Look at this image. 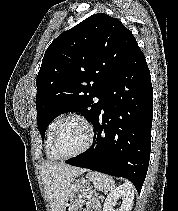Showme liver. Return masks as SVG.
Masks as SVG:
<instances>
[{"label": "liver", "instance_id": "6515ba94", "mask_svg": "<svg viewBox=\"0 0 178 211\" xmlns=\"http://www.w3.org/2000/svg\"><path fill=\"white\" fill-rule=\"evenodd\" d=\"M84 172L86 169L63 163L45 162L42 164L40 173L52 211L64 210L71 184Z\"/></svg>", "mask_w": 178, "mask_h": 211}]
</instances>
